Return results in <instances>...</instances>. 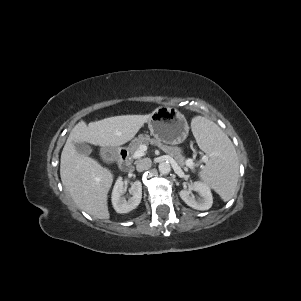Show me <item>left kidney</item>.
Instances as JSON below:
<instances>
[{
  "label": "left kidney",
  "instance_id": "1",
  "mask_svg": "<svg viewBox=\"0 0 301 301\" xmlns=\"http://www.w3.org/2000/svg\"><path fill=\"white\" fill-rule=\"evenodd\" d=\"M192 190L199 194L195 198L191 195V190H181L179 195L181 199L190 207L196 210H208L213 204V197L209 186L203 182H194Z\"/></svg>",
  "mask_w": 301,
  "mask_h": 301
}]
</instances>
